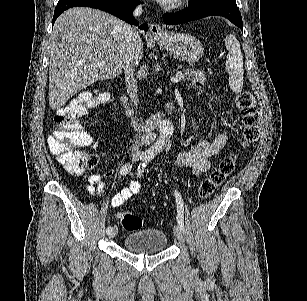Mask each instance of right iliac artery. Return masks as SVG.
Here are the masks:
<instances>
[{
  "mask_svg": "<svg viewBox=\"0 0 307 301\" xmlns=\"http://www.w3.org/2000/svg\"><path fill=\"white\" fill-rule=\"evenodd\" d=\"M138 161H146L148 160V156L147 154H142L141 156L138 157L137 159ZM132 163H125L122 167H121V170H120V173L123 174V175H126L130 172V170L132 169ZM112 231V227H108L106 229V232L107 234H110V232Z\"/></svg>",
  "mask_w": 307,
  "mask_h": 301,
  "instance_id": "82829eb1",
  "label": "right iliac artery"
}]
</instances>
